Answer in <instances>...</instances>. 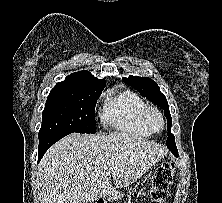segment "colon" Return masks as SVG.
<instances>
[{
    "label": "colon",
    "mask_w": 222,
    "mask_h": 203,
    "mask_svg": "<svg viewBox=\"0 0 222 203\" xmlns=\"http://www.w3.org/2000/svg\"><path fill=\"white\" fill-rule=\"evenodd\" d=\"M174 175L175 166L173 163L165 162L158 167L153 176L150 188L145 192L149 203H163Z\"/></svg>",
    "instance_id": "1"
}]
</instances>
